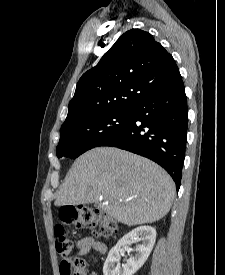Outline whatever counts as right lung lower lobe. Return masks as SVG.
Masks as SVG:
<instances>
[{"label": "right lung lower lobe", "instance_id": "right-lung-lower-lobe-1", "mask_svg": "<svg viewBox=\"0 0 225 275\" xmlns=\"http://www.w3.org/2000/svg\"><path fill=\"white\" fill-rule=\"evenodd\" d=\"M184 85L156 92L131 109L127 124L99 146L118 147L161 165L179 190L187 139Z\"/></svg>", "mask_w": 225, "mask_h": 275}]
</instances>
